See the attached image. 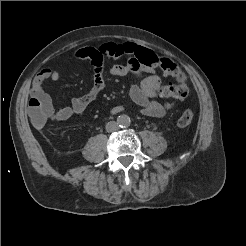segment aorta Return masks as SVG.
I'll return each instance as SVG.
<instances>
[{
	"instance_id": "1",
	"label": "aorta",
	"mask_w": 246,
	"mask_h": 246,
	"mask_svg": "<svg viewBox=\"0 0 246 246\" xmlns=\"http://www.w3.org/2000/svg\"><path fill=\"white\" fill-rule=\"evenodd\" d=\"M117 122L120 126H128L130 124V118L127 115H121L118 117Z\"/></svg>"
}]
</instances>
